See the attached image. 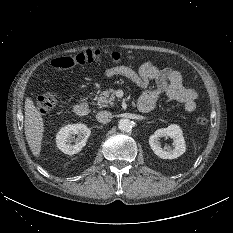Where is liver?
Wrapping results in <instances>:
<instances>
[{
    "mask_svg": "<svg viewBox=\"0 0 233 233\" xmlns=\"http://www.w3.org/2000/svg\"><path fill=\"white\" fill-rule=\"evenodd\" d=\"M25 136L28 145L35 157L40 155L44 122L40 112L36 109L31 98L25 100Z\"/></svg>",
    "mask_w": 233,
    "mask_h": 233,
    "instance_id": "obj_1",
    "label": "liver"
}]
</instances>
